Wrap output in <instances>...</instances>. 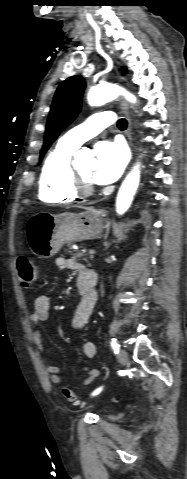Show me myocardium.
Here are the masks:
<instances>
[{"label": "myocardium", "mask_w": 187, "mask_h": 479, "mask_svg": "<svg viewBox=\"0 0 187 479\" xmlns=\"http://www.w3.org/2000/svg\"><path fill=\"white\" fill-rule=\"evenodd\" d=\"M73 188L79 196H89L94 193V185L90 179L85 178L76 169H72Z\"/></svg>", "instance_id": "1"}]
</instances>
